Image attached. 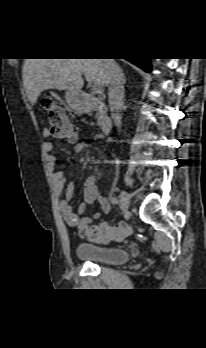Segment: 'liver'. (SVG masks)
I'll list each match as a JSON object with an SVG mask.
<instances>
[{
  "mask_svg": "<svg viewBox=\"0 0 206 348\" xmlns=\"http://www.w3.org/2000/svg\"><path fill=\"white\" fill-rule=\"evenodd\" d=\"M107 85L104 59H25L23 84L32 105L47 89L80 92L84 80Z\"/></svg>",
  "mask_w": 206,
  "mask_h": 348,
  "instance_id": "1",
  "label": "liver"
}]
</instances>
